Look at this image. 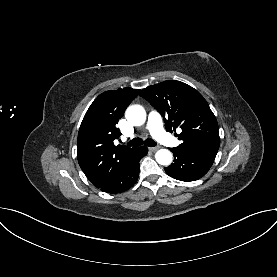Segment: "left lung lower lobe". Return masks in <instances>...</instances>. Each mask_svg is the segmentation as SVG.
I'll list each match as a JSON object with an SVG mask.
<instances>
[{
    "label": "left lung lower lobe",
    "instance_id": "obj_1",
    "mask_svg": "<svg viewBox=\"0 0 277 277\" xmlns=\"http://www.w3.org/2000/svg\"><path fill=\"white\" fill-rule=\"evenodd\" d=\"M174 163L165 168L166 173L177 180L195 181L204 176L212 166L218 148H172Z\"/></svg>",
    "mask_w": 277,
    "mask_h": 277
}]
</instances>
